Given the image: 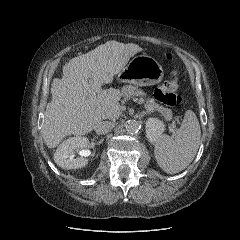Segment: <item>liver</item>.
Returning <instances> with one entry per match:
<instances>
[{
    "label": "liver",
    "mask_w": 240,
    "mask_h": 240,
    "mask_svg": "<svg viewBox=\"0 0 240 240\" xmlns=\"http://www.w3.org/2000/svg\"><path fill=\"white\" fill-rule=\"evenodd\" d=\"M140 51L137 44L107 41L63 67V78L53 81L42 126L48 148L58 146L67 135L91 132L99 121L119 118V90L110 88L93 96L92 88L111 83Z\"/></svg>",
    "instance_id": "obj_1"
}]
</instances>
